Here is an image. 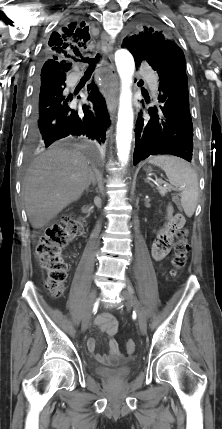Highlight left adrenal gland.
<instances>
[{"label":"left adrenal gland","mask_w":222,"mask_h":429,"mask_svg":"<svg viewBox=\"0 0 222 429\" xmlns=\"http://www.w3.org/2000/svg\"><path fill=\"white\" fill-rule=\"evenodd\" d=\"M145 182H148V183H149V180H148V179H145Z\"/></svg>","instance_id":"a2214340"}]
</instances>
